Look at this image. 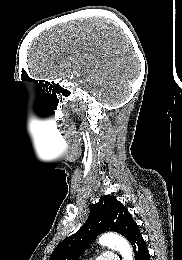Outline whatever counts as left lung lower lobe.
I'll use <instances>...</instances> for the list:
<instances>
[{"mask_svg": "<svg viewBox=\"0 0 182 260\" xmlns=\"http://www.w3.org/2000/svg\"><path fill=\"white\" fill-rule=\"evenodd\" d=\"M127 239L133 247L135 260H150L148 249L142 238L138 225L132 230Z\"/></svg>", "mask_w": 182, "mask_h": 260, "instance_id": "1", "label": "left lung lower lobe"}]
</instances>
